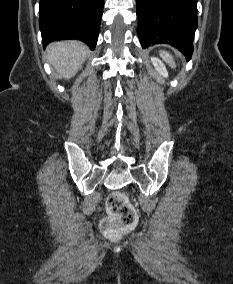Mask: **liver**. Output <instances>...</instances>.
Returning a JSON list of instances; mask_svg holds the SVG:
<instances>
[{
	"label": "liver",
	"instance_id": "1",
	"mask_svg": "<svg viewBox=\"0 0 233 284\" xmlns=\"http://www.w3.org/2000/svg\"><path fill=\"white\" fill-rule=\"evenodd\" d=\"M47 53L48 60L59 77L69 79L82 67L88 48L79 41L53 42L47 47Z\"/></svg>",
	"mask_w": 233,
	"mask_h": 284
}]
</instances>
